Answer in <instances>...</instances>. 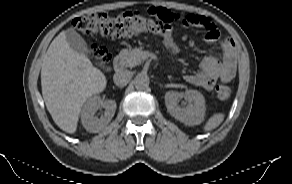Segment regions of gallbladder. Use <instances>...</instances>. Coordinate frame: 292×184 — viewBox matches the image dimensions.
Segmentation results:
<instances>
[{
	"label": "gallbladder",
	"mask_w": 292,
	"mask_h": 184,
	"mask_svg": "<svg viewBox=\"0 0 292 184\" xmlns=\"http://www.w3.org/2000/svg\"><path fill=\"white\" fill-rule=\"evenodd\" d=\"M66 41L69 46L76 52L88 56L89 49L86 41L73 28L65 31Z\"/></svg>",
	"instance_id": "1"
}]
</instances>
